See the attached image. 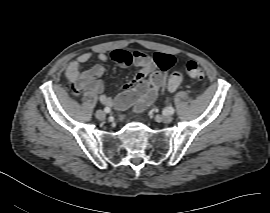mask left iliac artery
I'll return each mask as SVG.
<instances>
[{
	"instance_id": "left-iliac-artery-1",
	"label": "left iliac artery",
	"mask_w": 270,
	"mask_h": 213,
	"mask_svg": "<svg viewBox=\"0 0 270 213\" xmlns=\"http://www.w3.org/2000/svg\"><path fill=\"white\" fill-rule=\"evenodd\" d=\"M167 112L172 115V114H174L175 110L173 107H168Z\"/></svg>"
}]
</instances>
